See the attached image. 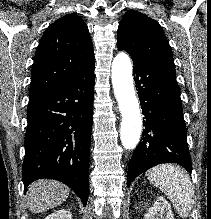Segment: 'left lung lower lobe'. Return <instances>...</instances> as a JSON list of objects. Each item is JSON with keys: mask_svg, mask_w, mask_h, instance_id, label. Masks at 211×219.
Listing matches in <instances>:
<instances>
[{"mask_svg": "<svg viewBox=\"0 0 211 219\" xmlns=\"http://www.w3.org/2000/svg\"><path fill=\"white\" fill-rule=\"evenodd\" d=\"M132 59L145 129L129 162L127 186L138 175L161 163H177L191 172L187 130L174 64Z\"/></svg>", "mask_w": 211, "mask_h": 219, "instance_id": "obj_1", "label": "left lung lower lobe"}]
</instances>
